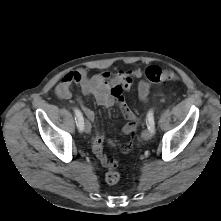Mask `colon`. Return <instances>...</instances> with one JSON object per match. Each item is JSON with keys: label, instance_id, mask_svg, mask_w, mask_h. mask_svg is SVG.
<instances>
[{"label": "colon", "instance_id": "5ec220e1", "mask_svg": "<svg viewBox=\"0 0 221 221\" xmlns=\"http://www.w3.org/2000/svg\"><path fill=\"white\" fill-rule=\"evenodd\" d=\"M145 76L148 81L155 83V84H162L166 83L168 81H177L178 77L177 75L170 69L161 68L159 66H150L145 71ZM129 89L128 84L125 83L122 86L118 87L116 89V101L119 105L122 113L128 117L131 114L130 109L125 103V100L123 98V91ZM58 94L61 96L62 92L58 91ZM137 124V119H136ZM135 130V129H134ZM134 130L131 131V134H134ZM117 161L112 159L110 161V164L108 166V171L105 175V181L109 185H114L119 182L120 180V173L117 170Z\"/></svg>", "mask_w": 221, "mask_h": 221}]
</instances>
